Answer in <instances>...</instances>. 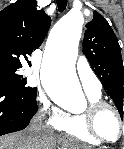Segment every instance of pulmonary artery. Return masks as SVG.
Segmentation results:
<instances>
[{
	"label": "pulmonary artery",
	"instance_id": "pulmonary-artery-1",
	"mask_svg": "<svg viewBox=\"0 0 124 149\" xmlns=\"http://www.w3.org/2000/svg\"><path fill=\"white\" fill-rule=\"evenodd\" d=\"M76 70L78 78L85 92L101 93V82L99 81L90 64L84 57H81L78 60Z\"/></svg>",
	"mask_w": 124,
	"mask_h": 149
}]
</instances>
